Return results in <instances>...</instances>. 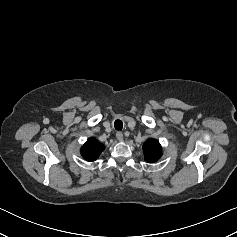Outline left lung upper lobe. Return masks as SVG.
<instances>
[{"instance_id": "left-lung-upper-lobe-1", "label": "left lung upper lobe", "mask_w": 237, "mask_h": 237, "mask_svg": "<svg viewBox=\"0 0 237 237\" xmlns=\"http://www.w3.org/2000/svg\"><path fill=\"white\" fill-rule=\"evenodd\" d=\"M145 160L148 163L157 161L162 155V147L155 139H148L143 145Z\"/></svg>"}]
</instances>
